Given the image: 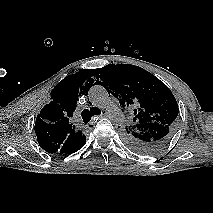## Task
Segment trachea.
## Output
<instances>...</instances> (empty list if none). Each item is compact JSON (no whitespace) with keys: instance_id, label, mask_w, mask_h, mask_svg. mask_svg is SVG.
Here are the masks:
<instances>
[{"instance_id":"trachea-1","label":"trachea","mask_w":213,"mask_h":213,"mask_svg":"<svg viewBox=\"0 0 213 213\" xmlns=\"http://www.w3.org/2000/svg\"><path fill=\"white\" fill-rule=\"evenodd\" d=\"M100 113H101V110L98 109L97 107H91L90 109H84L81 113L83 122L85 124H87L91 120L92 116L98 115Z\"/></svg>"}]
</instances>
